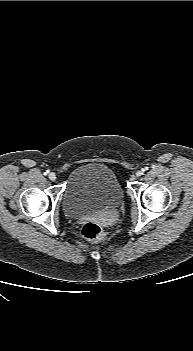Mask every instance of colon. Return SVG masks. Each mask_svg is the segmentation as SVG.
Returning a JSON list of instances; mask_svg holds the SVG:
<instances>
[{"label": "colon", "instance_id": "1", "mask_svg": "<svg viewBox=\"0 0 193 351\" xmlns=\"http://www.w3.org/2000/svg\"><path fill=\"white\" fill-rule=\"evenodd\" d=\"M82 236L92 242H101L105 238L102 226L95 221H88L81 227Z\"/></svg>", "mask_w": 193, "mask_h": 351}]
</instances>
